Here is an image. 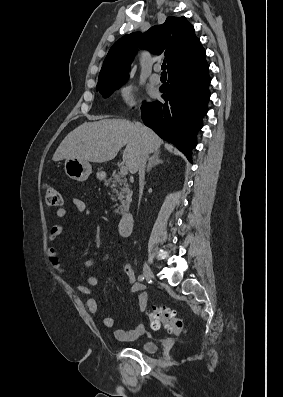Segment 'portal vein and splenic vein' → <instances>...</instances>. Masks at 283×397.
Returning a JSON list of instances; mask_svg holds the SVG:
<instances>
[{"mask_svg": "<svg viewBox=\"0 0 283 397\" xmlns=\"http://www.w3.org/2000/svg\"><path fill=\"white\" fill-rule=\"evenodd\" d=\"M120 174L123 175V176H125V175L128 174V168H127V166H121V168H120Z\"/></svg>", "mask_w": 283, "mask_h": 397, "instance_id": "1", "label": "portal vein and splenic vein"}]
</instances>
